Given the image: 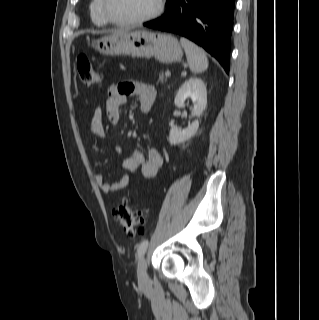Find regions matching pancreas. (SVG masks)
I'll list each match as a JSON object with an SVG mask.
<instances>
[{
    "label": "pancreas",
    "mask_w": 319,
    "mask_h": 320,
    "mask_svg": "<svg viewBox=\"0 0 319 320\" xmlns=\"http://www.w3.org/2000/svg\"><path fill=\"white\" fill-rule=\"evenodd\" d=\"M159 81L161 83H164L166 81V77H164V73L163 72L159 73Z\"/></svg>",
    "instance_id": "1"
}]
</instances>
